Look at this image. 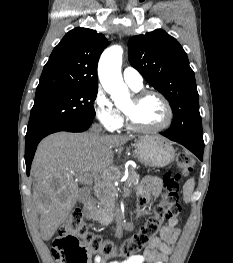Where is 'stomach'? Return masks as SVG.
<instances>
[{"mask_svg": "<svg viewBox=\"0 0 233 263\" xmlns=\"http://www.w3.org/2000/svg\"><path fill=\"white\" fill-rule=\"evenodd\" d=\"M134 155L144 164L163 167L175 157V150L164 138L156 135L140 136L134 141Z\"/></svg>", "mask_w": 233, "mask_h": 263, "instance_id": "stomach-1", "label": "stomach"}]
</instances>
